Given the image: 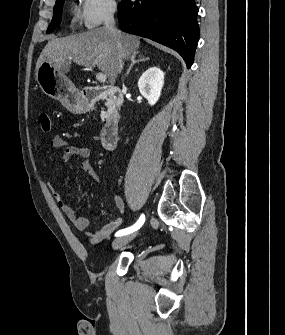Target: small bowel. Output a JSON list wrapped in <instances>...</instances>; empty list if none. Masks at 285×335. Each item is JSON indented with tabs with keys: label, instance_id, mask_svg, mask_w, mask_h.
Segmentation results:
<instances>
[{
	"label": "small bowel",
	"instance_id": "1",
	"mask_svg": "<svg viewBox=\"0 0 285 335\" xmlns=\"http://www.w3.org/2000/svg\"><path fill=\"white\" fill-rule=\"evenodd\" d=\"M50 146L53 149L63 148L61 159L63 162H70L74 157L80 158L81 169L85 171L93 180H97L96 171L89 159L90 150L88 147L83 145H70L63 137L55 136L50 141ZM54 156L52 155V159ZM50 190L57 202L62 209L67 219L71 222L73 227L78 231H85L87 227L86 218L77 215L76 211L68 204L63 193L57 191L53 186H50ZM115 204L118 210L123 214L125 212V204L119 197H115ZM122 224V218L109 221L93 232H85L87 239L90 243L95 244L103 240L108 239L113 232Z\"/></svg>",
	"mask_w": 285,
	"mask_h": 335
}]
</instances>
